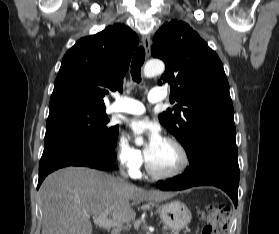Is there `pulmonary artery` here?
<instances>
[{"label":"pulmonary artery","instance_id":"e3ab8cb5","mask_svg":"<svg viewBox=\"0 0 279 234\" xmlns=\"http://www.w3.org/2000/svg\"><path fill=\"white\" fill-rule=\"evenodd\" d=\"M167 98V93L161 89H156L151 91L148 94V101L150 103H157L164 101ZM110 110L113 112H121L133 115H139L144 113L145 107L144 104L133 98H122L120 100L115 101Z\"/></svg>","mask_w":279,"mask_h":234}]
</instances>
